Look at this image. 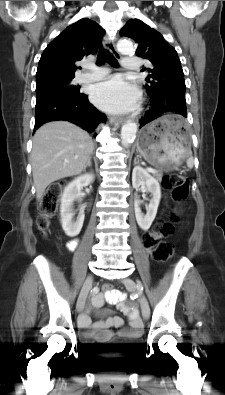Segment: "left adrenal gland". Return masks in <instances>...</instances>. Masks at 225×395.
<instances>
[{
	"label": "left adrenal gland",
	"instance_id": "obj_1",
	"mask_svg": "<svg viewBox=\"0 0 225 395\" xmlns=\"http://www.w3.org/2000/svg\"><path fill=\"white\" fill-rule=\"evenodd\" d=\"M136 164H139L138 157H135V158H134V165H136Z\"/></svg>",
	"mask_w": 225,
	"mask_h": 395
}]
</instances>
